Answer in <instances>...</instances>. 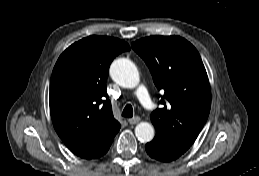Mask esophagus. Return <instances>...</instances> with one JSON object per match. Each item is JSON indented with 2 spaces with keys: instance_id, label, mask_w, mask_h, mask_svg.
Instances as JSON below:
<instances>
[{
  "instance_id": "34e87169",
  "label": "esophagus",
  "mask_w": 259,
  "mask_h": 176,
  "mask_svg": "<svg viewBox=\"0 0 259 176\" xmlns=\"http://www.w3.org/2000/svg\"><path fill=\"white\" fill-rule=\"evenodd\" d=\"M140 120H141L140 117H133V118H130L128 120V122H129L130 125H135V124L139 123Z\"/></svg>"
}]
</instances>
